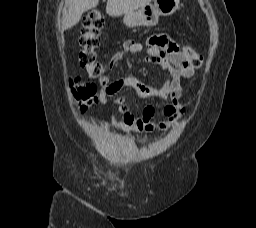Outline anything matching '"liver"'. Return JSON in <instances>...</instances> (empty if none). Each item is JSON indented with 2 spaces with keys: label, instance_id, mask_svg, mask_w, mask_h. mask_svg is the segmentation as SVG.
I'll return each mask as SVG.
<instances>
[{
  "label": "liver",
  "instance_id": "1",
  "mask_svg": "<svg viewBox=\"0 0 256 228\" xmlns=\"http://www.w3.org/2000/svg\"><path fill=\"white\" fill-rule=\"evenodd\" d=\"M151 0H108L106 12L109 16L119 17L127 12L134 11ZM99 0H66L67 11L63 15L65 29L75 26L84 12L95 8Z\"/></svg>",
  "mask_w": 256,
  "mask_h": 228
}]
</instances>
